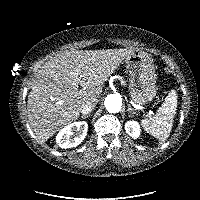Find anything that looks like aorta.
Wrapping results in <instances>:
<instances>
[{
    "instance_id": "762f6f07",
    "label": "aorta",
    "mask_w": 200,
    "mask_h": 200,
    "mask_svg": "<svg viewBox=\"0 0 200 200\" xmlns=\"http://www.w3.org/2000/svg\"><path fill=\"white\" fill-rule=\"evenodd\" d=\"M105 108L110 113H118L122 108V99L118 94H109L104 101Z\"/></svg>"
}]
</instances>
